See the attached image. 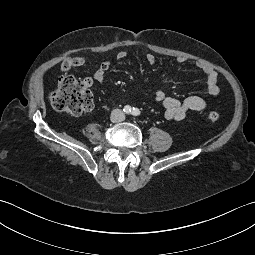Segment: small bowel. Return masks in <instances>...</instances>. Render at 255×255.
Listing matches in <instances>:
<instances>
[{
  "instance_id": "c3829d8e",
  "label": "small bowel",
  "mask_w": 255,
  "mask_h": 255,
  "mask_svg": "<svg viewBox=\"0 0 255 255\" xmlns=\"http://www.w3.org/2000/svg\"><path fill=\"white\" fill-rule=\"evenodd\" d=\"M127 56L128 53L122 50L117 53L116 59L118 61H122L126 59ZM144 56L148 64L153 65L156 62V57L154 54L145 53ZM177 61L178 63H185L186 59L179 58ZM84 64V57H68L62 61L60 68L63 72H69L70 70L81 67ZM111 64L112 62L110 60L102 62L94 72L93 77H87L84 79L85 86L90 88L95 82H104L106 73L110 69ZM196 66L205 78L207 92L212 96L218 95L220 88L218 86L217 72L202 62H198ZM155 100L163 107L164 115L168 120L179 121L184 119L190 112L202 111L206 108V101L200 96H189L183 101H179L172 97L166 96L164 90L162 89L157 90L155 93Z\"/></svg>"
}]
</instances>
